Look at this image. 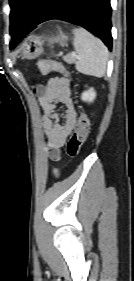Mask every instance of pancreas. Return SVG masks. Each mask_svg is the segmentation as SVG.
<instances>
[{"label":"pancreas","mask_w":134,"mask_h":281,"mask_svg":"<svg viewBox=\"0 0 134 281\" xmlns=\"http://www.w3.org/2000/svg\"><path fill=\"white\" fill-rule=\"evenodd\" d=\"M63 60L69 64L74 63L75 62V58L72 55H66L63 57Z\"/></svg>","instance_id":"obj_1"}]
</instances>
